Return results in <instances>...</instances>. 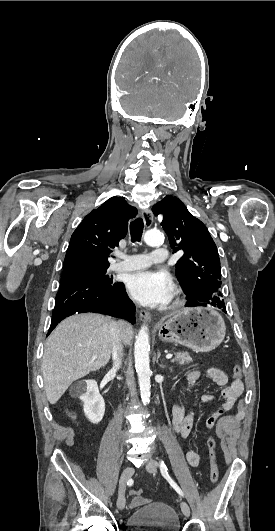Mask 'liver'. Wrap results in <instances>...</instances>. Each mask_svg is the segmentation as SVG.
<instances>
[{"label":"liver","instance_id":"6515ba94","mask_svg":"<svg viewBox=\"0 0 275 531\" xmlns=\"http://www.w3.org/2000/svg\"><path fill=\"white\" fill-rule=\"evenodd\" d=\"M110 317L83 313L57 325L45 343L42 373L46 397L55 405L68 387L109 363L111 355ZM121 339L129 345L133 331L126 321H118ZM97 357V359H92Z\"/></svg>","mask_w":275,"mask_h":531}]
</instances>
